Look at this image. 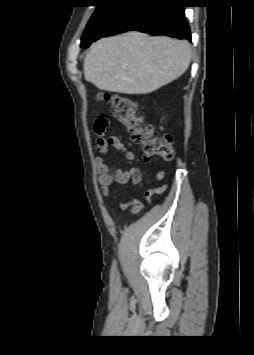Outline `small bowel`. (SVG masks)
Instances as JSON below:
<instances>
[{
  "mask_svg": "<svg viewBox=\"0 0 254 355\" xmlns=\"http://www.w3.org/2000/svg\"><path fill=\"white\" fill-rule=\"evenodd\" d=\"M109 126V122L107 127L103 131H97L94 127L96 133V166L98 170L97 181L100 185V192L103 197L109 196L110 188L114 183L126 184L132 183L133 185H138L141 181V171L137 167H130L128 170L123 171L121 169H115L107 164H105L104 159L108 154L109 147H113L118 151H121L125 154V157L129 164H131L134 160V154L130 151L124 143L114 135H110L108 137L105 136V131ZM144 162H149V156H143ZM165 177V171L160 170L156 174V178L158 180H162ZM163 187L149 189L147 191V196H151L154 192H160ZM136 201L134 199L131 200H123L120 203V208L122 210L128 209L131 205H135ZM112 214H114L113 210H110Z\"/></svg>",
  "mask_w": 254,
  "mask_h": 355,
  "instance_id": "c3829d8e",
  "label": "small bowel"
}]
</instances>
